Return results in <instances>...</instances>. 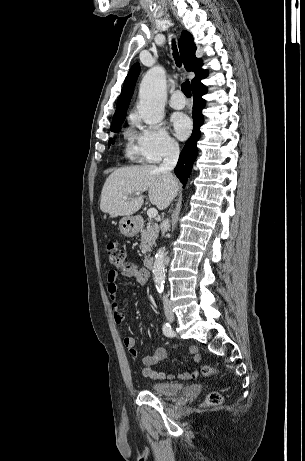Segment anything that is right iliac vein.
<instances>
[{
	"label": "right iliac vein",
	"instance_id": "63e3f726",
	"mask_svg": "<svg viewBox=\"0 0 305 461\" xmlns=\"http://www.w3.org/2000/svg\"><path fill=\"white\" fill-rule=\"evenodd\" d=\"M166 317H167L168 321H172V320H173V316H172V314L169 313V312H167Z\"/></svg>",
	"mask_w": 305,
	"mask_h": 461
}]
</instances>
